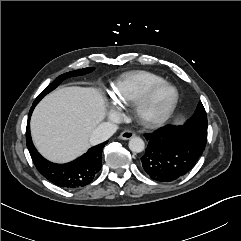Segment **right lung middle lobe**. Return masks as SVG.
<instances>
[{"label":"right lung middle lobe","instance_id":"obj_1","mask_svg":"<svg viewBox=\"0 0 241 241\" xmlns=\"http://www.w3.org/2000/svg\"><path fill=\"white\" fill-rule=\"evenodd\" d=\"M95 68L93 67H89V68H84V69H80V70H75V71H71V72H67L63 75H60L59 77H57L55 79L54 82H52L48 87H46L41 93L40 95L36 98V100L34 101L33 105H36L46 94H48L50 91H52L53 89H55L64 79L68 78V77H74V76H81V75H85L87 73H90L94 70Z\"/></svg>","mask_w":241,"mask_h":241}]
</instances>
